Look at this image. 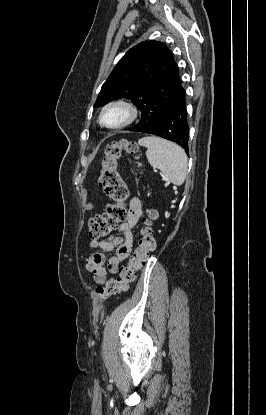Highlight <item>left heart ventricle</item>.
Listing matches in <instances>:
<instances>
[{"instance_id":"obj_1","label":"left heart ventricle","mask_w":266,"mask_h":415,"mask_svg":"<svg viewBox=\"0 0 266 415\" xmlns=\"http://www.w3.org/2000/svg\"><path fill=\"white\" fill-rule=\"evenodd\" d=\"M125 118V112L120 108L108 110L104 115V122L108 125H116Z\"/></svg>"}]
</instances>
